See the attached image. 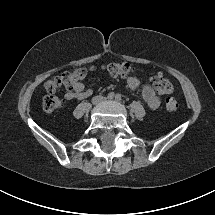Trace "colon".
<instances>
[{"instance_id": "colon-1", "label": "colon", "mask_w": 215, "mask_h": 215, "mask_svg": "<svg viewBox=\"0 0 215 215\" xmlns=\"http://www.w3.org/2000/svg\"><path fill=\"white\" fill-rule=\"evenodd\" d=\"M103 70L113 77H127L134 72V67L126 62H114L104 66ZM86 73L85 68H77L49 79L44 85L47 95L43 98V109L46 112L58 109L62 101L55 95V92L61 88L73 89L77 82L85 78ZM152 86L157 92L162 94H169L173 90L172 83L167 78L159 75L152 79ZM178 106L177 100L173 97H168L165 100V107L168 111H175L178 109Z\"/></svg>"}]
</instances>
